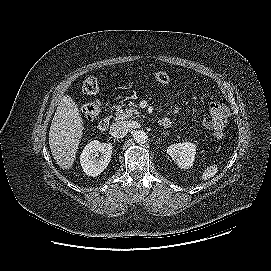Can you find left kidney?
I'll return each instance as SVG.
<instances>
[{
    "label": "left kidney",
    "instance_id": "1",
    "mask_svg": "<svg viewBox=\"0 0 271 271\" xmlns=\"http://www.w3.org/2000/svg\"><path fill=\"white\" fill-rule=\"evenodd\" d=\"M167 153L180 168L187 169L195 160L196 146L191 142L177 143L170 145Z\"/></svg>",
    "mask_w": 271,
    "mask_h": 271
}]
</instances>
